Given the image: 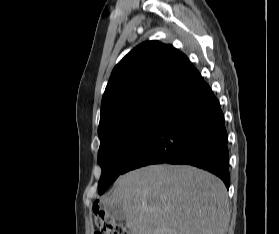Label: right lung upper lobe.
<instances>
[{"label": "right lung upper lobe", "mask_w": 279, "mask_h": 234, "mask_svg": "<svg viewBox=\"0 0 279 234\" xmlns=\"http://www.w3.org/2000/svg\"><path fill=\"white\" fill-rule=\"evenodd\" d=\"M200 76L187 56L172 45L144 42L114 67L102 98L100 125L145 106L168 107Z\"/></svg>", "instance_id": "cb5924a9"}]
</instances>
